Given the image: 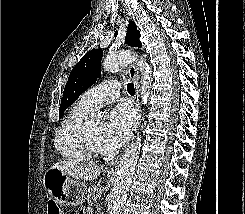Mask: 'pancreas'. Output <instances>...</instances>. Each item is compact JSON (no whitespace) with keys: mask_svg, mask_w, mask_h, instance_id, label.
I'll list each match as a JSON object with an SVG mask.
<instances>
[{"mask_svg":"<svg viewBox=\"0 0 245 214\" xmlns=\"http://www.w3.org/2000/svg\"><path fill=\"white\" fill-rule=\"evenodd\" d=\"M99 191V186L97 185H92L89 189H88V194H87V202L89 204H93L96 201V194Z\"/></svg>","mask_w":245,"mask_h":214,"instance_id":"1","label":"pancreas"}]
</instances>
